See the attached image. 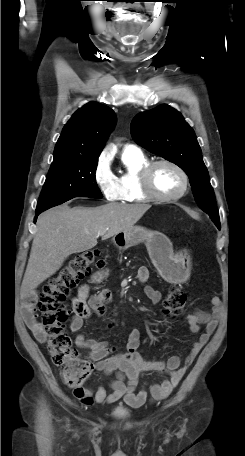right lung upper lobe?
Instances as JSON below:
<instances>
[{
    "mask_svg": "<svg viewBox=\"0 0 245 456\" xmlns=\"http://www.w3.org/2000/svg\"><path fill=\"white\" fill-rule=\"evenodd\" d=\"M116 124L115 112L97 102L78 109L64 126L52 163L72 158H98Z\"/></svg>",
    "mask_w": 245,
    "mask_h": 456,
    "instance_id": "right-lung-upper-lobe-1",
    "label": "right lung upper lobe"
}]
</instances>
